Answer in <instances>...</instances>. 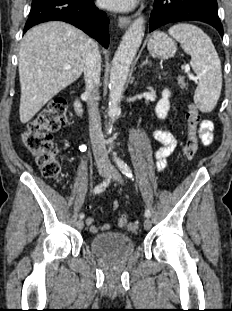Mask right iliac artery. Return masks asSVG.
<instances>
[{"label": "right iliac artery", "instance_id": "82829eb1", "mask_svg": "<svg viewBox=\"0 0 232 311\" xmlns=\"http://www.w3.org/2000/svg\"><path fill=\"white\" fill-rule=\"evenodd\" d=\"M84 149H85V146H84ZM110 181H111V173H109V174L107 175L106 179H105L102 183H100L99 185H97V186L94 188V190H93L94 194H99V193H101L103 190H105L106 187L109 185ZM79 218H80V219H83V218H84V214L81 213V214L79 215Z\"/></svg>", "mask_w": 232, "mask_h": 311}]
</instances>
